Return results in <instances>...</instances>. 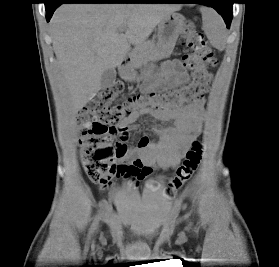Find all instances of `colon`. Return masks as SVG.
Instances as JSON below:
<instances>
[{
	"instance_id": "colon-1",
	"label": "colon",
	"mask_w": 279,
	"mask_h": 267,
	"mask_svg": "<svg viewBox=\"0 0 279 267\" xmlns=\"http://www.w3.org/2000/svg\"><path fill=\"white\" fill-rule=\"evenodd\" d=\"M182 43L187 49L184 65L191 70L189 83L164 92L133 95L117 101L124 92L122 83L103 89L92 103L80 110L78 122L81 127L79 138L80 156L83 167L94 182L106 177L133 176L142 172L137 160L125 161L127 147L123 142L111 143V136L120 134L126 139L127 128L123 125L132 113L141 109H177L198 100L211 80L206 67L216 64L213 50L204 35L190 21L183 27ZM202 145L195 141L187 151L183 163L177 168L167 186L173 195L193 176L202 158Z\"/></svg>"
}]
</instances>
